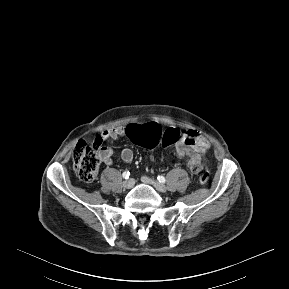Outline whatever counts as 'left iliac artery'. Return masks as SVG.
<instances>
[{"label": "left iliac artery", "mask_w": 289, "mask_h": 289, "mask_svg": "<svg viewBox=\"0 0 289 289\" xmlns=\"http://www.w3.org/2000/svg\"><path fill=\"white\" fill-rule=\"evenodd\" d=\"M157 179H158V181H159L160 183H165V182H166L165 177L162 176V175H159V176L157 177Z\"/></svg>", "instance_id": "1"}]
</instances>
